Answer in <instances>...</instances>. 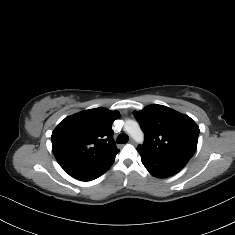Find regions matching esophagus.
Returning <instances> with one entry per match:
<instances>
[{
    "mask_svg": "<svg viewBox=\"0 0 235 235\" xmlns=\"http://www.w3.org/2000/svg\"><path fill=\"white\" fill-rule=\"evenodd\" d=\"M129 143H130V144H134V143H135L134 139H133V138H130Z\"/></svg>",
    "mask_w": 235,
    "mask_h": 235,
    "instance_id": "1",
    "label": "esophagus"
}]
</instances>
